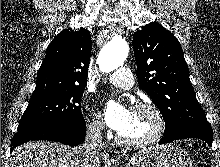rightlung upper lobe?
<instances>
[{"label":"right lung upper lobe","instance_id":"obj_1","mask_svg":"<svg viewBox=\"0 0 220 167\" xmlns=\"http://www.w3.org/2000/svg\"><path fill=\"white\" fill-rule=\"evenodd\" d=\"M90 55L91 36L88 30H63L47 48L32 98L69 87L85 86Z\"/></svg>","mask_w":220,"mask_h":167}]
</instances>
